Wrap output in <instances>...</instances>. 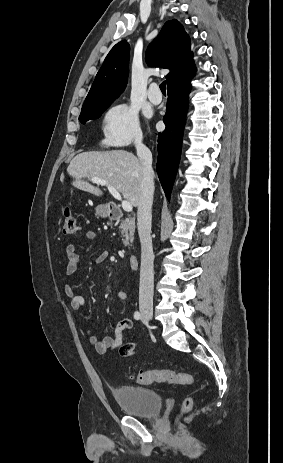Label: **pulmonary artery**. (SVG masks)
<instances>
[{"instance_id": "pulmonary-artery-1", "label": "pulmonary artery", "mask_w": 283, "mask_h": 463, "mask_svg": "<svg viewBox=\"0 0 283 463\" xmlns=\"http://www.w3.org/2000/svg\"><path fill=\"white\" fill-rule=\"evenodd\" d=\"M148 99L154 105H158L161 102L162 97L159 93V87L156 83L151 84L148 91Z\"/></svg>"}]
</instances>
